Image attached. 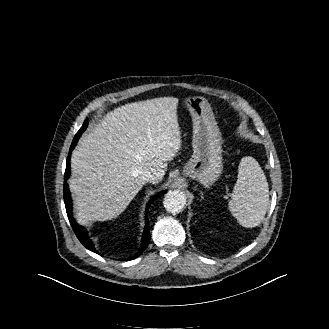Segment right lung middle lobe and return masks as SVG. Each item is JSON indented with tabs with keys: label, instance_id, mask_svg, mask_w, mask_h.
<instances>
[{
	"label": "right lung middle lobe",
	"instance_id": "obj_1",
	"mask_svg": "<svg viewBox=\"0 0 329 329\" xmlns=\"http://www.w3.org/2000/svg\"><path fill=\"white\" fill-rule=\"evenodd\" d=\"M87 127V120L84 121L82 127L79 129V131L77 132V134L75 135L71 146H75L77 143L78 138L80 137V135L82 134V132L86 129Z\"/></svg>",
	"mask_w": 329,
	"mask_h": 329
}]
</instances>
